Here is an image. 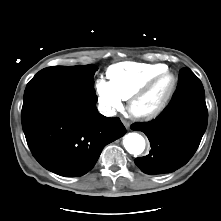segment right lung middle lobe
Masks as SVG:
<instances>
[{"mask_svg":"<svg viewBox=\"0 0 221 221\" xmlns=\"http://www.w3.org/2000/svg\"><path fill=\"white\" fill-rule=\"evenodd\" d=\"M97 66H54L39 71L27 87L46 84L83 92H94V73Z\"/></svg>","mask_w":221,"mask_h":221,"instance_id":"dd1d6c3e","label":"right lung middle lobe"}]
</instances>
